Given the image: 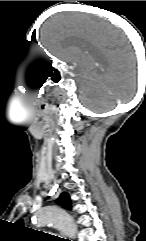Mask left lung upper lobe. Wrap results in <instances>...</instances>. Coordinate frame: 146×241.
Here are the masks:
<instances>
[{"instance_id": "5c2ea615", "label": "left lung upper lobe", "mask_w": 146, "mask_h": 241, "mask_svg": "<svg viewBox=\"0 0 146 241\" xmlns=\"http://www.w3.org/2000/svg\"><path fill=\"white\" fill-rule=\"evenodd\" d=\"M56 202L63 208L71 209V201L68 193H62Z\"/></svg>"}]
</instances>
